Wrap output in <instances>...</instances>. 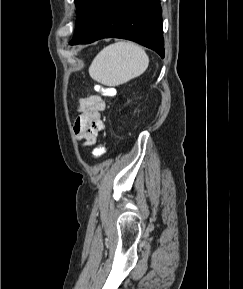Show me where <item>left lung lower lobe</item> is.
I'll list each match as a JSON object with an SVG mask.
<instances>
[{
	"label": "left lung lower lobe",
	"mask_w": 243,
	"mask_h": 289,
	"mask_svg": "<svg viewBox=\"0 0 243 289\" xmlns=\"http://www.w3.org/2000/svg\"><path fill=\"white\" fill-rule=\"evenodd\" d=\"M159 0H89L76 21L71 45L101 38H123L155 50L164 58Z\"/></svg>",
	"instance_id": "left-lung-lower-lobe-1"
}]
</instances>
